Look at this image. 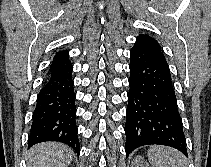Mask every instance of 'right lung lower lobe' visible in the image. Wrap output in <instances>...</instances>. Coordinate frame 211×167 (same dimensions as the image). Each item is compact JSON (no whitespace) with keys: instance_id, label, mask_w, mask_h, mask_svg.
Instances as JSON below:
<instances>
[{"instance_id":"obj_1","label":"right lung lower lobe","mask_w":211,"mask_h":167,"mask_svg":"<svg viewBox=\"0 0 211 167\" xmlns=\"http://www.w3.org/2000/svg\"><path fill=\"white\" fill-rule=\"evenodd\" d=\"M73 65L69 56L53 60L37 96L28 147L46 141L69 145L79 155Z\"/></svg>"}]
</instances>
